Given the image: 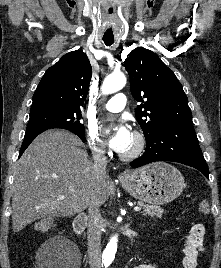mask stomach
<instances>
[{"label": "stomach", "instance_id": "stomach-1", "mask_svg": "<svg viewBox=\"0 0 221 268\" xmlns=\"http://www.w3.org/2000/svg\"><path fill=\"white\" fill-rule=\"evenodd\" d=\"M121 184L134 198L154 206L175 200L185 187L180 171L164 162L127 171Z\"/></svg>", "mask_w": 221, "mask_h": 268}]
</instances>
